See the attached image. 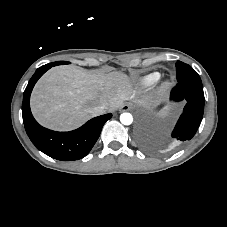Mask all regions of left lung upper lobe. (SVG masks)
Returning a JSON list of instances; mask_svg holds the SVG:
<instances>
[{"mask_svg": "<svg viewBox=\"0 0 227 227\" xmlns=\"http://www.w3.org/2000/svg\"><path fill=\"white\" fill-rule=\"evenodd\" d=\"M176 78L178 82L188 81L202 84L199 75L193 70V68L181 61H177L176 63Z\"/></svg>", "mask_w": 227, "mask_h": 227, "instance_id": "left-lung-upper-lobe-1", "label": "left lung upper lobe"}]
</instances>
